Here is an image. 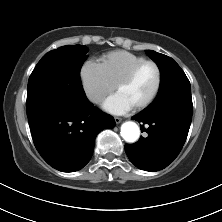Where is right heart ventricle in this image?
I'll use <instances>...</instances> for the list:
<instances>
[{
  "instance_id": "1",
  "label": "right heart ventricle",
  "mask_w": 222,
  "mask_h": 222,
  "mask_svg": "<svg viewBox=\"0 0 222 222\" xmlns=\"http://www.w3.org/2000/svg\"><path fill=\"white\" fill-rule=\"evenodd\" d=\"M145 58L124 50L109 52L99 59V65L115 85L134 65Z\"/></svg>"
}]
</instances>
